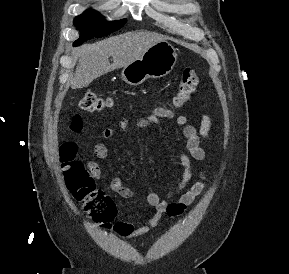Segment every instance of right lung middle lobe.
Returning <instances> with one entry per match:
<instances>
[{
    "mask_svg": "<svg viewBox=\"0 0 289 274\" xmlns=\"http://www.w3.org/2000/svg\"><path fill=\"white\" fill-rule=\"evenodd\" d=\"M126 23V19L106 22L98 12L87 10L74 20V25L80 29L81 36L74 42L78 46L92 37H103L120 29Z\"/></svg>",
    "mask_w": 289,
    "mask_h": 274,
    "instance_id": "obj_1",
    "label": "right lung middle lobe"
}]
</instances>
